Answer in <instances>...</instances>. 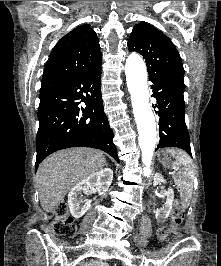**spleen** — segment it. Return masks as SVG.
Returning a JSON list of instances; mask_svg holds the SVG:
<instances>
[{"mask_svg": "<svg viewBox=\"0 0 221 266\" xmlns=\"http://www.w3.org/2000/svg\"><path fill=\"white\" fill-rule=\"evenodd\" d=\"M169 153L175 156L179 164L183 166L182 172L175 179V184L180 189V197L184 207L189 205L192 197L194 172L192 170V159L190 156L179 149H167Z\"/></svg>", "mask_w": 221, "mask_h": 266, "instance_id": "1", "label": "spleen"}]
</instances>
